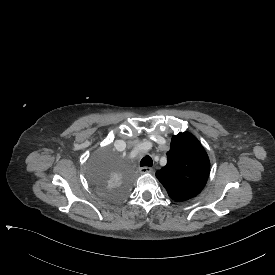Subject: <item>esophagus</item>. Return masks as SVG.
Segmentation results:
<instances>
[{"mask_svg":"<svg viewBox=\"0 0 275 275\" xmlns=\"http://www.w3.org/2000/svg\"><path fill=\"white\" fill-rule=\"evenodd\" d=\"M139 171L141 174H146V173H150L152 171V168L151 167H141L139 169Z\"/></svg>","mask_w":275,"mask_h":275,"instance_id":"esophagus-1","label":"esophagus"}]
</instances>
